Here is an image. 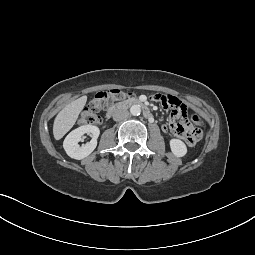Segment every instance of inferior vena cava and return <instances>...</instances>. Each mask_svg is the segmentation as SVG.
<instances>
[{
    "label": "inferior vena cava",
    "mask_w": 255,
    "mask_h": 255,
    "mask_svg": "<svg viewBox=\"0 0 255 255\" xmlns=\"http://www.w3.org/2000/svg\"><path fill=\"white\" fill-rule=\"evenodd\" d=\"M129 112L127 109L118 108L113 112V119L115 121H122L128 118Z\"/></svg>",
    "instance_id": "602c4592"
}]
</instances>
